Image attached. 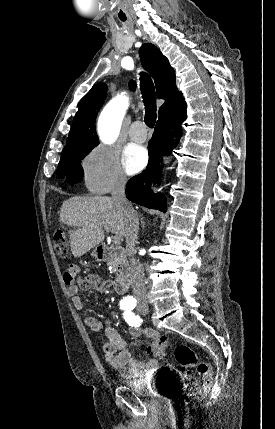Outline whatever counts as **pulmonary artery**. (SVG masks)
<instances>
[{
  "mask_svg": "<svg viewBox=\"0 0 275 429\" xmlns=\"http://www.w3.org/2000/svg\"><path fill=\"white\" fill-rule=\"evenodd\" d=\"M131 140L142 143L147 139V131L142 121H134L129 129Z\"/></svg>",
  "mask_w": 275,
  "mask_h": 429,
  "instance_id": "pulmonary-artery-1",
  "label": "pulmonary artery"
}]
</instances>
